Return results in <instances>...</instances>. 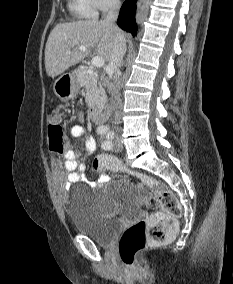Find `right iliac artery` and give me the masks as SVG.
I'll return each instance as SVG.
<instances>
[{
  "label": "right iliac artery",
  "mask_w": 233,
  "mask_h": 284,
  "mask_svg": "<svg viewBox=\"0 0 233 284\" xmlns=\"http://www.w3.org/2000/svg\"><path fill=\"white\" fill-rule=\"evenodd\" d=\"M107 127H105V126H101V127H98L97 128V132L99 133V134H105L106 132H107Z\"/></svg>",
  "instance_id": "right-iliac-artery-1"
}]
</instances>
